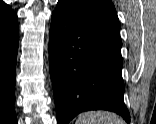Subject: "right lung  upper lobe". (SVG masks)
<instances>
[{"label": "right lung upper lobe", "mask_w": 156, "mask_h": 124, "mask_svg": "<svg viewBox=\"0 0 156 124\" xmlns=\"http://www.w3.org/2000/svg\"><path fill=\"white\" fill-rule=\"evenodd\" d=\"M17 25V16L11 10V8L0 1V29L1 28H13Z\"/></svg>", "instance_id": "obj_1"}]
</instances>
